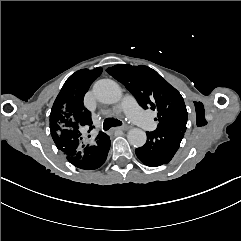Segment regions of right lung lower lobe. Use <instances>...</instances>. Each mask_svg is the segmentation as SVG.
Masks as SVG:
<instances>
[{
	"instance_id": "obj_1",
	"label": "right lung lower lobe",
	"mask_w": 241,
	"mask_h": 241,
	"mask_svg": "<svg viewBox=\"0 0 241 241\" xmlns=\"http://www.w3.org/2000/svg\"><path fill=\"white\" fill-rule=\"evenodd\" d=\"M110 138L104 135L94 142L84 145L75 156H66L67 160L74 166L84 170L99 168L106 161L110 149Z\"/></svg>"
}]
</instances>
